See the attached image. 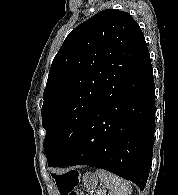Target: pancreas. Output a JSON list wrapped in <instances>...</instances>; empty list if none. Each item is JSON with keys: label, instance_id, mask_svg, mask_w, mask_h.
Masks as SVG:
<instances>
[{"label": "pancreas", "instance_id": "1", "mask_svg": "<svg viewBox=\"0 0 178 195\" xmlns=\"http://www.w3.org/2000/svg\"><path fill=\"white\" fill-rule=\"evenodd\" d=\"M98 195H103V193H98Z\"/></svg>", "mask_w": 178, "mask_h": 195}]
</instances>
